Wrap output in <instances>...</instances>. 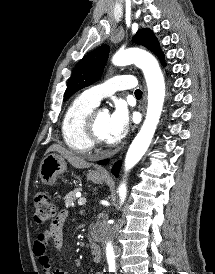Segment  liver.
<instances>
[{
    "instance_id": "6515ba94",
    "label": "liver",
    "mask_w": 215,
    "mask_h": 274,
    "mask_svg": "<svg viewBox=\"0 0 215 274\" xmlns=\"http://www.w3.org/2000/svg\"><path fill=\"white\" fill-rule=\"evenodd\" d=\"M58 152L63 158H65L72 166L76 168H87L90 167V163L86 162L81 156L74 154L71 151L63 148L60 145L53 144L47 150L49 152Z\"/></svg>"
}]
</instances>
